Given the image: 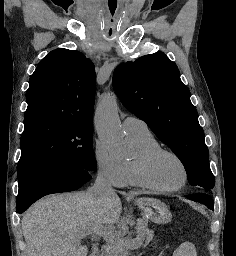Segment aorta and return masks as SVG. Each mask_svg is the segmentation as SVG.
Masks as SVG:
<instances>
[{
  "mask_svg": "<svg viewBox=\"0 0 236 256\" xmlns=\"http://www.w3.org/2000/svg\"><path fill=\"white\" fill-rule=\"evenodd\" d=\"M117 109V97L114 94L104 97L96 109L94 124L98 137L106 145L119 148L126 141Z\"/></svg>",
  "mask_w": 236,
  "mask_h": 256,
  "instance_id": "obj_1",
  "label": "aorta"
}]
</instances>
